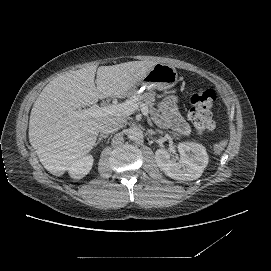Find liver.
<instances>
[{"mask_svg":"<svg viewBox=\"0 0 271 271\" xmlns=\"http://www.w3.org/2000/svg\"><path fill=\"white\" fill-rule=\"evenodd\" d=\"M155 64L131 61L98 68L88 66L50 81L34 102L28 132L30 144L44 168L61 176L66 167L93 149L100 123L123 120L110 114L81 119L74 117L73 111L95 105L99 99L126 96Z\"/></svg>","mask_w":271,"mask_h":271,"instance_id":"6515ba94","label":"liver"}]
</instances>
